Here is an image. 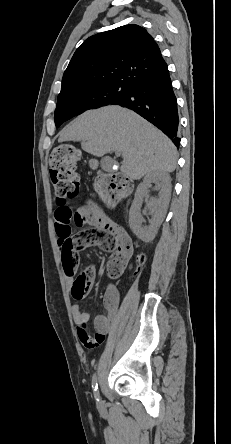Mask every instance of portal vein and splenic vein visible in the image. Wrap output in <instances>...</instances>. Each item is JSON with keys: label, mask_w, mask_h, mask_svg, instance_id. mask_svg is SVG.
<instances>
[{"label": "portal vein and splenic vein", "mask_w": 231, "mask_h": 444, "mask_svg": "<svg viewBox=\"0 0 231 444\" xmlns=\"http://www.w3.org/2000/svg\"><path fill=\"white\" fill-rule=\"evenodd\" d=\"M116 155H117V156H120V153L117 152Z\"/></svg>", "instance_id": "18ae733b"}]
</instances>
